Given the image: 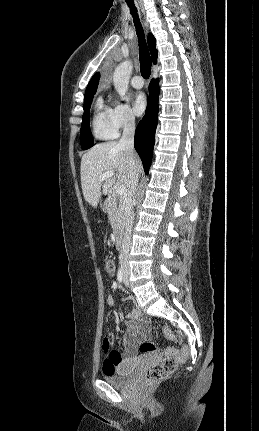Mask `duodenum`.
<instances>
[{"mask_svg": "<svg viewBox=\"0 0 259 431\" xmlns=\"http://www.w3.org/2000/svg\"><path fill=\"white\" fill-rule=\"evenodd\" d=\"M109 205H110L109 201H106L104 204V210H108ZM115 243H116V248L120 249V247H121V235L119 232L116 233Z\"/></svg>", "mask_w": 259, "mask_h": 431, "instance_id": "410a0bca", "label": "duodenum"}]
</instances>
